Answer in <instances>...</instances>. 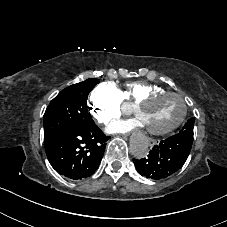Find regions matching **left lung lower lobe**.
<instances>
[{"instance_id": "0a47b994", "label": "left lung lower lobe", "mask_w": 227, "mask_h": 227, "mask_svg": "<svg viewBox=\"0 0 227 227\" xmlns=\"http://www.w3.org/2000/svg\"><path fill=\"white\" fill-rule=\"evenodd\" d=\"M193 137L175 134L149 152L147 158L133 159L141 175L152 179H163L178 171L187 160Z\"/></svg>"}]
</instances>
